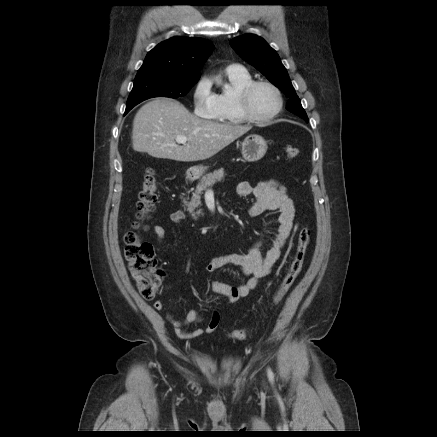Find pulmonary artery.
I'll return each mask as SVG.
<instances>
[{"label":"pulmonary artery","instance_id":"obj_1","mask_svg":"<svg viewBox=\"0 0 437 437\" xmlns=\"http://www.w3.org/2000/svg\"><path fill=\"white\" fill-rule=\"evenodd\" d=\"M229 67H239L238 65H230Z\"/></svg>","mask_w":437,"mask_h":437}]
</instances>
